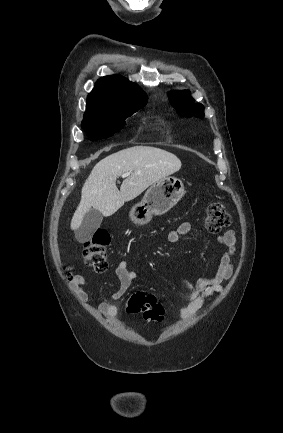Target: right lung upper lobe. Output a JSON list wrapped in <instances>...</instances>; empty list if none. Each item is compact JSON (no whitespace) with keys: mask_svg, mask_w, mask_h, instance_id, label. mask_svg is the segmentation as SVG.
Returning <instances> with one entry per match:
<instances>
[{"mask_svg":"<svg viewBox=\"0 0 283 433\" xmlns=\"http://www.w3.org/2000/svg\"><path fill=\"white\" fill-rule=\"evenodd\" d=\"M146 102V95L137 84L122 76L110 75L96 82L87 97L86 112L139 108Z\"/></svg>","mask_w":283,"mask_h":433,"instance_id":"right-lung-upper-lobe-1","label":"right lung upper lobe"}]
</instances>
